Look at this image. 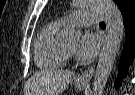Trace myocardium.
<instances>
[{
  "instance_id": "myocardium-1",
  "label": "myocardium",
  "mask_w": 135,
  "mask_h": 95,
  "mask_svg": "<svg viewBox=\"0 0 135 95\" xmlns=\"http://www.w3.org/2000/svg\"><path fill=\"white\" fill-rule=\"evenodd\" d=\"M66 52H67V55L73 54V50H71L68 46H66Z\"/></svg>"
}]
</instances>
